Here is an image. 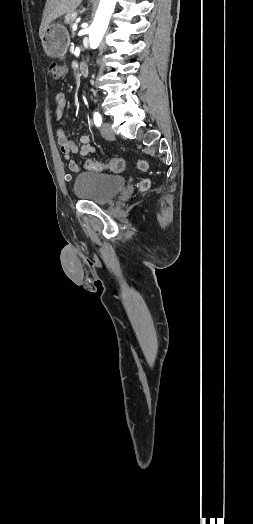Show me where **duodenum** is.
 <instances>
[{
	"label": "duodenum",
	"instance_id": "obj_1",
	"mask_svg": "<svg viewBox=\"0 0 253 524\" xmlns=\"http://www.w3.org/2000/svg\"><path fill=\"white\" fill-rule=\"evenodd\" d=\"M78 69H79V73H80V74H82V75H87V73H88V64L85 63V62H81V63L79 64Z\"/></svg>",
	"mask_w": 253,
	"mask_h": 524
}]
</instances>
